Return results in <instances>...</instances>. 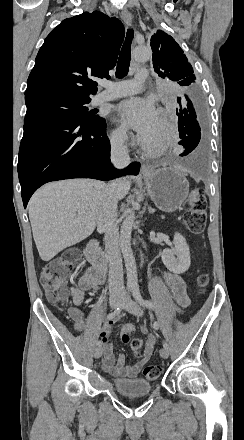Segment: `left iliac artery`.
Listing matches in <instances>:
<instances>
[{"mask_svg": "<svg viewBox=\"0 0 244 440\" xmlns=\"http://www.w3.org/2000/svg\"><path fill=\"white\" fill-rule=\"evenodd\" d=\"M132 293H133V296H134L135 300H136L140 305H142L144 308H147V309H154V304H153L150 300H145V299H143V297L141 296V293H140V290H139V286H138V285H134V286L132 287ZM154 328H155L156 330L159 329V323H158L157 321L154 322ZM163 347L166 348V349H168V348H169L168 343H167V342H163Z\"/></svg>", "mask_w": 244, "mask_h": 440, "instance_id": "44dca946", "label": "left iliac artery"}]
</instances>
